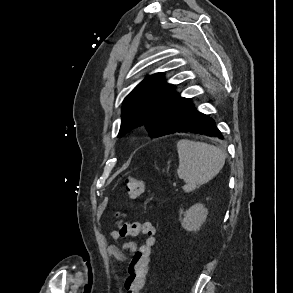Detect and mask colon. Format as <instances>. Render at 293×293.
Here are the masks:
<instances>
[{
	"mask_svg": "<svg viewBox=\"0 0 293 293\" xmlns=\"http://www.w3.org/2000/svg\"><path fill=\"white\" fill-rule=\"evenodd\" d=\"M124 187L129 199L139 198L144 191V183L139 178L129 177L124 181ZM121 236L147 237L143 245L132 255L124 276L123 284L127 293H141L147 273L148 263L155 245L154 227L149 222L121 221L118 225Z\"/></svg>",
	"mask_w": 293,
	"mask_h": 293,
	"instance_id": "obj_1",
	"label": "colon"
}]
</instances>
